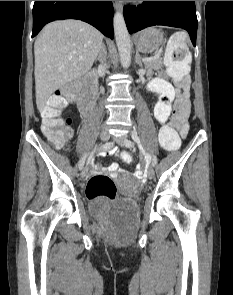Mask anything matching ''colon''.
I'll list each match as a JSON object with an SVG mask.
<instances>
[{"mask_svg":"<svg viewBox=\"0 0 233 295\" xmlns=\"http://www.w3.org/2000/svg\"><path fill=\"white\" fill-rule=\"evenodd\" d=\"M187 38L183 34H176L168 45L165 64L169 76L182 90H187L189 80L187 77L190 54L186 45ZM81 82L72 81L60 91L51 96L43 109V133L56 147L65 145L71 137V120L61 115L67 106V97H73L79 93ZM159 143L166 151H176L180 147L181 139L178 133L170 126H163L159 133ZM125 164L132 162V156L128 152L121 154ZM116 185L113 180L102 174L93 175L87 183V197L96 203L111 202L116 198Z\"/></svg>","mask_w":233,"mask_h":295,"instance_id":"obj_1","label":"colon"}]
</instances>
